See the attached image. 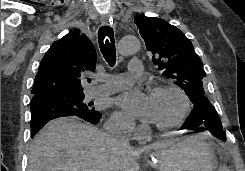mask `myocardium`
I'll list each match as a JSON object with an SVG mask.
<instances>
[{"instance_id": "obj_1", "label": "myocardium", "mask_w": 245, "mask_h": 171, "mask_svg": "<svg viewBox=\"0 0 245 171\" xmlns=\"http://www.w3.org/2000/svg\"><path fill=\"white\" fill-rule=\"evenodd\" d=\"M163 92H171L178 96L181 102V109L177 116L167 123H154V126L159 130H169L178 126L187 116L190 111V100L187 94L178 86L175 85H160L156 86L152 90V94H158Z\"/></svg>"}]
</instances>
